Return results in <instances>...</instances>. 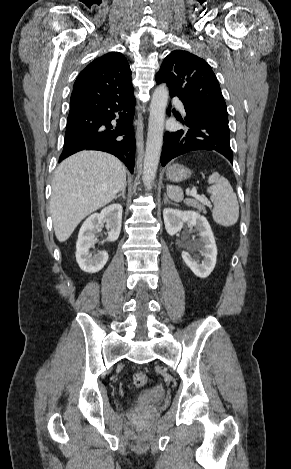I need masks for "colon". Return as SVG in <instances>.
<instances>
[{"label":"colon","instance_id":"colon-1","mask_svg":"<svg viewBox=\"0 0 291 469\" xmlns=\"http://www.w3.org/2000/svg\"><path fill=\"white\" fill-rule=\"evenodd\" d=\"M131 383L136 388L143 387L148 383V376L144 372H137L132 376Z\"/></svg>","mask_w":291,"mask_h":469}]
</instances>
